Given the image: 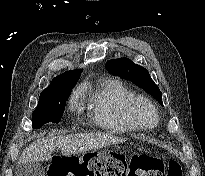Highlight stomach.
I'll list each match as a JSON object with an SVG mask.
<instances>
[{"mask_svg":"<svg viewBox=\"0 0 205 176\" xmlns=\"http://www.w3.org/2000/svg\"><path fill=\"white\" fill-rule=\"evenodd\" d=\"M94 151H90V152H88V153H93Z\"/></svg>","mask_w":205,"mask_h":176,"instance_id":"0dacf381","label":"stomach"}]
</instances>
